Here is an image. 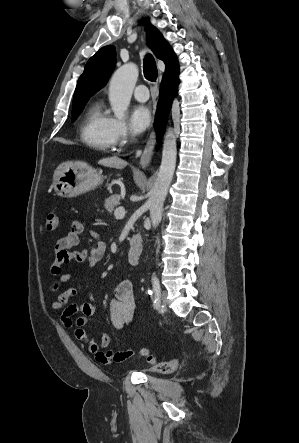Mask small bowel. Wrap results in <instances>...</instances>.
I'll use <instances>...</instances> for the list:
<instances>
[{
  "label": "small bowel",
  "instance_id": "1",
  "mask_svg": "<svg viewBox=\"0 0 299 443\" xmlns=\"http://www.w3.org/2000/svg\"><path fill=\"white\" fill-rule=\"evenodd\" d=\"M85 229V222L77 220L72 222L66 234L58 239L54 247V260L50 273L55 277L51 290L58 292L57 298L51 303V309L61 311L62 324L74 330L76 339L87 345L97 362L105 365L121 363L133 356V350L125 351L105 350L111 342L110 336L102 332L98 341L91 338L85 330L94 312L96 300L93 293H88L89 302L78 304L70 302L77 294L73 287L61 291L63 286L73 278V273L65 272L64 265L86 263L88 267H95L105 256L106 243L96 231H91L88 238L89 247L72 251L80 243V237ZM135 310V295L133 284L130 280L120 281L114 290V299L109 305V320L115 329H123L133 318ZM79 314L78 317H75Z\"/></svg>",
  "mask_w": 299,
  "mask_h": 443
}]
</instances>
